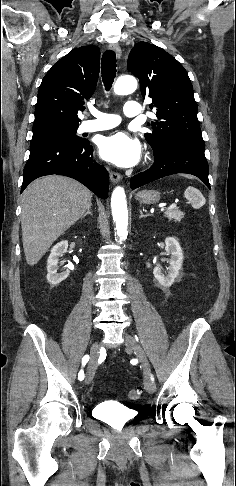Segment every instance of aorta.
<instances>
[{"label":"aorta","mask_w":236,"mask_h":486,"mask_svg":"<svg viewBox=\"0 0 236 486\" xmlns=\"http://www.w3.org/2000/svg\"><path fill=\"white\" fill-rule=\"evenodd\" d=\"M137 89V81L132 76H123L118 78L114 85V92L117 95H127ZM111 209L113 220L116 224V234L119 241L127 238L128 231V210L125 191L118 186L114 189L111 196Z\"/></svg>","instance_id":"1"}]
</instances>
